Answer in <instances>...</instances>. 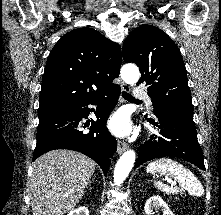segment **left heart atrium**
I'll return each instance as SVG.
<instances>
[{
    "label": "left heart atrium",
    "instance_id": "left-heart-atrium-1",
    "mask_svg": "<svg viewBox=\"0 0 221 215\" xmlns=\"http://www.w3.org/2000/svg\"><path fill=\"white\" fill-rule=\"evenodd\" d=\"M108 127L117 136H126L131 131L128 115L124 111L115 113L108 122Z\"/></svg>",
    "mask_w": 221,
    "mask_h": 215
}]
</instances>
